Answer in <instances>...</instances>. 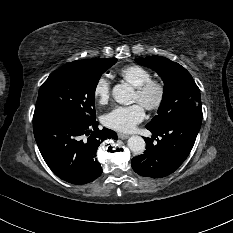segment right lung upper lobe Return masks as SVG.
I'll use <instances>...</instances> for the list:
<instances>
[{
  "label": "right lung upper lobe",
  "instance_id": "cb5924a9",
  "mask_svg": "<svg viewBox=\"0 0 233 233\" xmlns=\"http://www.w3.org/2000/svg\"><path fill=\"white\" fill-rule=\"evenodd\" d=\"M80 61H88V60H80Z\"/></svg>",
  "mask_w": 233,
  "mask_h": 233
}]
</instances>
